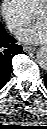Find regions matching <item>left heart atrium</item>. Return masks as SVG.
I'll use <instances>...</instances> for the list:
<instances>
[{
  "label": "left heart atrium",
  "instance_id": "left-heart-atrium-1",
  "mask_svg": "<svg viewBox=\"0 0 47 129\" xmlns=\"http://www.w3.org/2000/svg\"><path fill=\"white\" fill-rule=\"evenodd\" d=\"M17 36L25 43H43L47 38L46 23L37 21L19 31Z\"/></svg>",
  "mask_w": 47,
  "mask_h": 129
}]
</instances>
